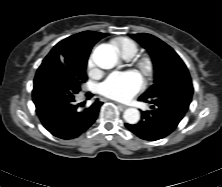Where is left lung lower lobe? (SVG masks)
I'll return each instance as SVG.
<instances>
[{
    "instance_id": "left-lung-lower-lobe-1",
    "label": "left lung lower lobe",
    "mask_w": 222,
    "mask_h": 187,
    "mask_svg": "<svg viewBox=\"0 0 222 187\" xmlns=\"http://www.w3.org/2000/svg\"><path fill=\"white\" fill-rule=\"evenodd\" d=\"M180 89V96L175 99L170 98V90L162 91L152 98L140 96V101L153 104V110L142 112V120L138 124L125 126L144 140L155 141L168 136L178 126L192 100V84H184Z\"/></svg>"
}]
</instances>
